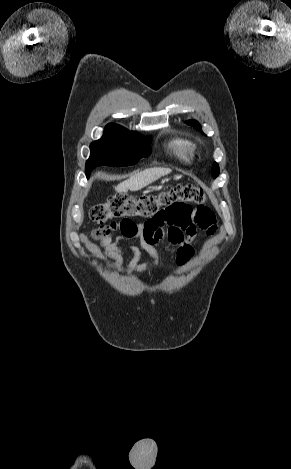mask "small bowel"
Instances as JSON below:
<instances>
[{
  "label": "small bowel",
  "instance_id": "obj_1",
  "mask_svg": "<svg viewBox=\"0 0 291 469\" xmlns=\"http://www.w3.org/2000/svg\"><path fill=\"white\" fill-rule=\"evenodd\" d=\"M197 227L208 230L209 234L216 231L215 217L211 210L204 218L200 217L196 209L190 208L188 211L178 213L168 212L163 217L149 219L142 223H135L131 220L113 222L106 231H95L93 237L103 249L102 254L112 259L118 269L124 263L123 253L129 251L132 254L129 272H133L151 268L159 263L160 257L155 246L162 240L178 247L177 265L185 266L193 256L191 243L195 238ZM114 231L119 232L115 237ZM121 241H138L139 245L129 244L124 248L120 246ZM142 251H145L151 260L139 264Z\"/></svg>",
  "mask_w": 291,
  "mask_h": 469
}]
</instances>
